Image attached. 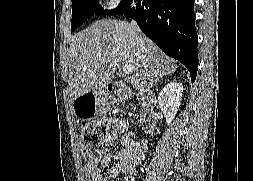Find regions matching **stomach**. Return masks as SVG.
<instances>
[{"label":"stomach","mask_w":253,"mask_h":181,"mask_svg":"<svg viewBox=\"0 0 253 181\" xmlns=\"http://www.w3.org/2000/svg\"><path fill=\"white\" fill-rule=\"evenodd\" d=\"M109 102V94L106 91L95 89L74 101V113L80 119L96 118L106 111Z\"/></svg>","instance_id":"0dacf381"}]
</instances>
